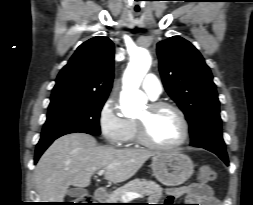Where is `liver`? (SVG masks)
Wrapping results in <instances>:
<instances>
[{"instance_id":"6515ba94","label":"liver","mask_w":253,"mask_h":205,"mask_svg":"<svg viewBox=\"0 0 253 205\" xmlns=\"http://www.w3.org/2000/svg\"><path fill=\"white\" fill-rule=\"evenodd\" d=\"M156 153L145 149L98 146L93 136L71 133L53 142L39 159L34 180L43 202H63L69 186L85 188L91 177L105 169L113 183L130 179Z\"/></svg>"}]
</instances>
